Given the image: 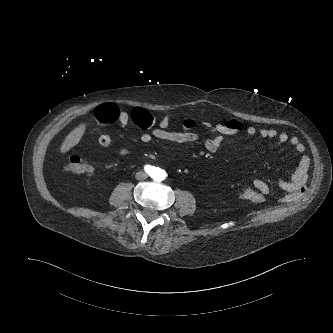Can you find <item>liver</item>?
Instances as JSON below:
<instances>
[{"instance_id":"obj_1","label":"liver","mask_w":333,"mask_h":333,"mask_svg":"<svg viewBox=\"0 0 333 333\" xmlns=\"http://www.w3.org/2000/svg\"><path fill=\"white\" fill-rule=\"evenodd\" d=\"M86 131V124L82 123L75 129H73L64 139L63 143L60 146V152L65 154L70 151L74 146H76Z\"/></svg>"}]
</instances>
